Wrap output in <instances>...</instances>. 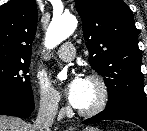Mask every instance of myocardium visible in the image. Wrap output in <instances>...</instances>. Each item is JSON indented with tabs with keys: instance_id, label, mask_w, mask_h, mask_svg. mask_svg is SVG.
<instances>
[{
	"instance_id": "f54148a6",
	"label": "myocardium",
	"mask_w": 147,
	"mask_h": 131,
	"mask_svg": "<svg viewBox=\"0 0 147 131\" xmlns=\"http://www.w3.org/2000/svg\"><path fill=\"white\" fill-rule=\"evenodd\" d=\"M87 81L91 82L98 91L97 102L90 108L77 109V113L83 117H92L101 113L108 105L109 102V88L105 80L97 74H90L87 76Z\"/></svg>"
}]
</instances>
